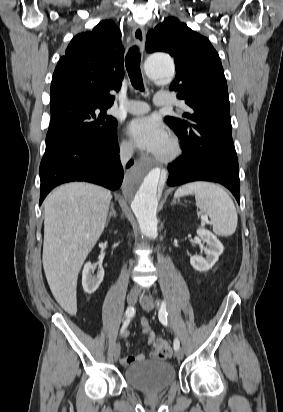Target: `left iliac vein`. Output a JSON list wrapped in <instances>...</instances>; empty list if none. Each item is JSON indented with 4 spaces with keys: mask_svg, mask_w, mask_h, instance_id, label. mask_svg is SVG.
I'll use <instances>...</instances> for the list:
<instances>
[{
    "mask_svg": "<svg viewBox=\"0 0 283 412\" xmlns=\"http://www.w3.org/2000/svg\"><path fill=\"white\" fill-rule=\"evenodd\" d=\"M140 303H141L143 309L146 310V311H151L155 306L154 301L148 295H142L140 297ZM175 355H176L178 360H182L183 356H184L183 351L181 349L176 350Z\"/></svg>",
    "mask_w": 283,
    "mask_h": 412,
    "instance_id": "4c4485c4",
    "label": "left iliac vein"
}]
</instances>
